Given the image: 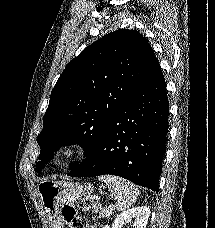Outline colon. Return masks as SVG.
Here are the masks:
<instances>
[{
    "label": "colon",
    "mask_w": 215,
    "mask_h": 228,
    "mask_svg": "<svg viewBox=\"0 0 215 228\" xmlns=\"http://www.w3.org/2000/svg\"><path fill=\"white\" fill-rule=\"evenodd\" d=\"M100 210V204L92 198H85L79 204V210L73 206L64 205L61 210L62 218L68 224L69 228H92L85 213H97Z\"/></svg>",
    "instance_id": "colon-1"
}]
</instances>
